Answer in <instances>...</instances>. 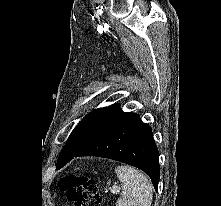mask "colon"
Returning <instances> with one entry per match:
<instances>
[{
    "instance_id": "5ec220e1",
    "label": "colon",
    "mask_w": 221,
    "mask_h": 206,
    "mask_svg": "<svg viewBox=\"0 0 221 206\" xmlns=\"http://www.w3.org/2000/svg\"><path fill=\"white\" fill-rule=\"evenodd\" d=\"M60 187L72 206H101L102 198L94 179L85 175L69 174Z\"/></svg>"
}]
</instances>
